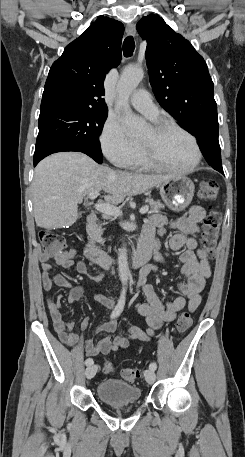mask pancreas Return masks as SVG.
<instances>
[{
	"mask_svg": "<svg viewBox=\"0 0 245 457\" xmlns=\"http://www.w3.org/2000/svg\"><path fill=\"white\" fill-rule=\"evenodd\" d=\"M145 202H148L151 210H160V208H165L164 204L160 202V200H154V198H145ZM103 231L102 226H98V224H88L87 226V233L89 235V239L94 241V243H101L103 245L104 239H102Z\"/></svg>",
	"mask_w": 245,
	"mask_h": 457,
	"instance_id": "obj_1",
	"label": "pancreas"
}]
</instances>
